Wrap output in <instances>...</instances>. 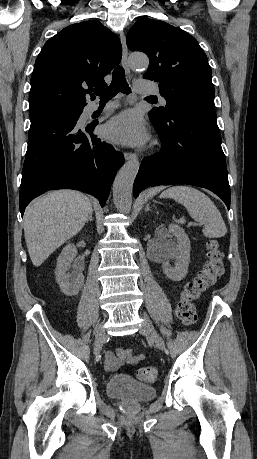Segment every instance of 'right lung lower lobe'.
<instances>
[{"instance_id": "98d812e1", "label": "right lung lower lobe", "mask_w": 257, "mask_h": 459, "mask_svg": "<svg viewBox=\"0 0 257 459\" xmlns=\"http://www.w3.org/2000/svg\"><path fill=\"white\" fill-rule=\"evenodd\" d=\"M81 113L30 116L19 196L22 216L31 200L55 189L89 193L100 199L102 207L105 205L124 156L93 136L97 122L80 126Z\"/></svg>"}]
</instances>
